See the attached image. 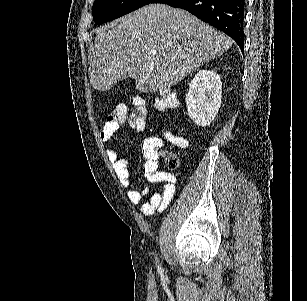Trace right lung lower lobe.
<instances>
[{"label":"right lung lower lobe","mask_w":307,"mask_h":301,"mask_svg":"<svg viewBox=\"0 0 307 301\" xmlns=\"http://www.w3.org/2000/svg\"><path fill=\"white\" fill-rule=\"evenodd\" d=\"M149 3H164L189 11L229 35L243 51L245 0H151Z\"/></svg>","instance_id":"right-lung-lower-lobe-1"}]
</instances>
